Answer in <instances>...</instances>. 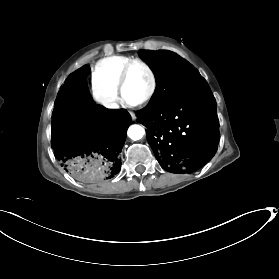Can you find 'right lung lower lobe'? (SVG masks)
Instances as JSON below:
<instances>
[{
  "label": "right lung lower lobe",
  "instance_id": "1",
  "mask_svg": "<svg viewBox=\"0 0 279 279\" xmlns=\"http://www.w3.org/2000/svg\"><path fill=\"white\" fill-rule=\"evenodd\" d=\"M87 66L65 81L52 113V148L63 169L77 180L99 184L121 169L120 153L130 115L96 104L86 86Z\"/></svg>",
  "mask_w": 279,
  "mask_h": 279
}]
</instances>
